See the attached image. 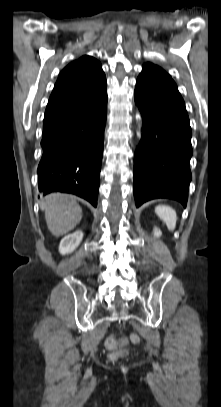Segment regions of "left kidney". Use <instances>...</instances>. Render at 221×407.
Segmentation results:
<instances>
[{
  "mask_svg": "<svg viewBox=\"0 0 221 407\" xmlns=\"http://www.w3.org/2000/svg\"><path fill=\"white\" fill-rule=\"evenodd\" d=\"M154 235L157 236V237L161 236L162 233H161L160 229H158V228L155 227V228H154Z\"/></svg>",
  "mask_w": 221,
  "mask_h": 407,
  "instance_id": "obj_1",
  "label": "left kidney"
}]
</instances>
